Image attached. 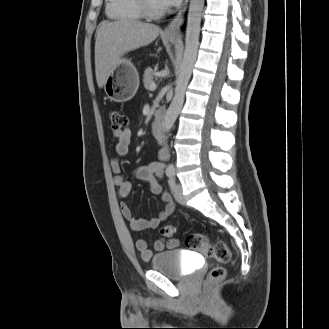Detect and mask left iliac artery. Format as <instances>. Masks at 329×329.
<instances>
[{
  "mask_svg": "<svg viewBox=\"0 0 329 329\" xmlns=\"http://www.w3.org/2000/svg\"><path fill=\"white\" fill-rule=\"evenodd\" d=\"M168 183H169L170 188L173 190L175 187V178L173 175L169 178Z\"/></svg>",
  "mask_w": 329,
  "mask_h": 329,
  "instance_id": "left-iliac-artery-1",
  "label": "left iliac artery"
}]
</instances>
